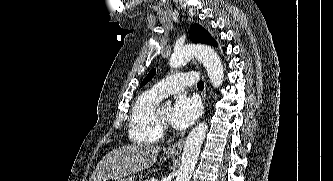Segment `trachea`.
I'll use <instances>...</instances> for the list:
<instances>
[{
	"mask_svg": "<svg viewBox=\"0 0 333 181\" xmlns=\"http://www.w3.org/2000/svg\"><path fill=\"white\" fill-rule=\"evenodd\" d=\"M197 88L200 89V90H203V88H204V82L203 81H199L198 84H197Z\"/></svg>",
	"mask_w": 333,
	"mask_h": 181,
	"instance_id": "trachea-1",
	"label": "trachea"
}]
</instances>
